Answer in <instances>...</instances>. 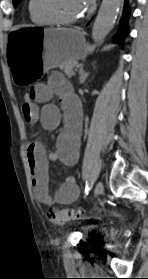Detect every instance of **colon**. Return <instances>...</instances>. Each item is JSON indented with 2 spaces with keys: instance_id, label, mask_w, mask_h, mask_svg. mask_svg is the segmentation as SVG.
I'll list each match as a JSON object with an SVG mask.
<instances>
[{
  "instance_id": "5ec220e1",
  "label": "colon",
  "mask_w": 148,
  "mask_h": 279,
  "mask_svg": "<svg viewBox=\"0 0 148 279\" xmlns=\"http://www.w3.org/2000/svg\"><path fill=\"white\" fill-rule=\"evenodd\" d=\"M33 100L32 88L24 93V103L29 105ZM48 219L54 223L61 224L68 220L79 218L82 216L80 210L73 209H50L46 213Z\"/></svg>"
}]
</instances>
